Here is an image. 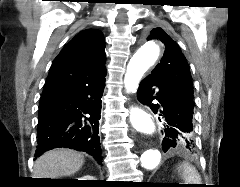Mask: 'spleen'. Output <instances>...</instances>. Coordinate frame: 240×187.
<instances>
[{
	"label": "spleen",
	"mask_w": 240,
	"mask_h": 187,
	"mask_svg": "<svg viewBox=\"0 0 240 187\" xmlns=\"http://www.w3.org/2000/svg\"><path fill=\"white\" fill-rule=\"evenodd\" d=\"M179 172H182V178L185 182H189L187 184H200L201 178L198 174L196 168L189 164L188 162H183L179 168Z\"/></svg>",
	"instance_id": "3e777b00"
}]
</instances>
